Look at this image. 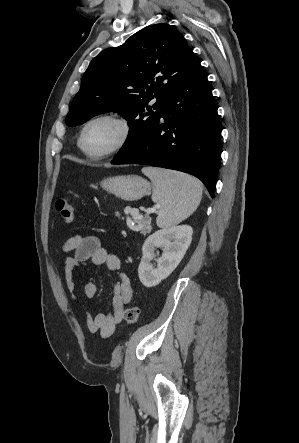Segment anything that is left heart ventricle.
Segmentation results:
<instances>
[{
  "label": "left heart ventricle",
  "instance_id": "obj_1",
  "mask_svg": "<svg viewBox=\"0 0 299 443\" xmlns=\"http://www.w3.org/2000/svg\"><path fill=\"white\" fill-rule=\"evenodd\" d=\"M120 128L109 120L91 124L85 133L84 145L92 153H102L111 148L120 138Z\"/></svg>",
  "mask_w": 299,
  "mask_h": 443
}]
</instances>
